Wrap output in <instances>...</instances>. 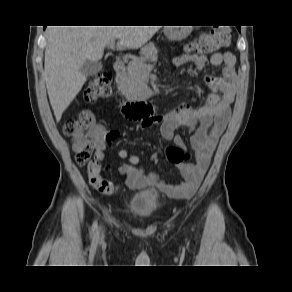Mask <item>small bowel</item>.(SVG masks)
Wrapping results in <instances>:
<instances>
[{
    "mask_svg": "<svg viewBox=\"0 0 292 292\" xmlns=\"http://www.w3.org/2000/svg\"><path fill=\"white\" fill-rule=\"evenodd\" d=\"M186 64H192L196 70H203L207 64L223 67L221 76L207 75L205 77V82L211 90L205 103L200 107L181 104L164 115H157L143 121L141 128L160 124L162 137L183 148L184 141L175 134V131L181 126L187 127L193 131L190 144L195 151L196 161L177 165L183 181L168 183L156 173H145L141 167L137 166L140 157L122 149L118 152V156L127 162L119 167V172L124 177L125 183L132 189L139 190L153 186L170 197L190 198L198 189L208 169L213 151L227 126L237 86L235 56L230 52H216L210 58L204 55L181 54L173 59L175 68ZM118 137V131L97 128L94 141L99 161L103 159L107 146Z\"/></svg>",
    "mask_w": 292,
    "mask_h": 292,
    "instance_id": "c3829d8e",
    "label": "small bowel"
}]
</instances>
